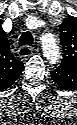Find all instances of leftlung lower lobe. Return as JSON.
I'll return each mask as SVG.
<instances>
[{
    "label": "left lung lower lobe",
    "instance_id": "0a47b994",
    "mask_svg": "<svg viewBox=\"0 0 77 125\" xmlns=\"http://www.w3.org/2000/svg\"><path fill=\"white\" fill-rule=\"evenodd\" d=\"M71 67H68V66H63V65H60L58 68H56L55 70L51 71V76L52 77H55L57 75H59V73H63V72H71ZM68 70V71H67ZM59 76H63V75H59Z\"/></svg>",
    "mask_w": 77,
    "mask_h": 125
}]
</instances>
